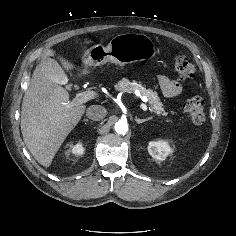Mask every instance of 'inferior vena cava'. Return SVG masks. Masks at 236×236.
Masks as SVG:
<instances>
[{
	"label": "inferior vena cava",
	"mask_w": 236,
	"mask_h": 236,
	"mask_svg": "<svg viewBox=\"0 0 236 236\" xmlns=\"http://www.w3.org/2000/svg\"><path fill=\"white\" fill-rule=\"evenodd\" d=\"M86 115L91 120L99 121L102 120L107 115V110L103 106L92 105L87 108Z\"/></svg>",
	"instance_id": "inferior-vena-cava-1"
}]
</instances>
